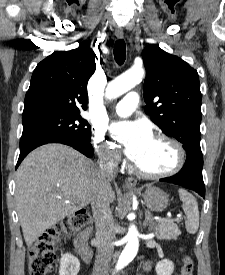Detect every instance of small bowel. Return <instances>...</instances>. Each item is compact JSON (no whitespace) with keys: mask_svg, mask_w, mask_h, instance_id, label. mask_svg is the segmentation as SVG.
Instances as JSON below:
<instances>
[{"mask_svg":"<svg viewBox=\"0 0 225 275\" xmlns=\"http://www.w3.org/2000/svg\"><path fill=\"white\" fill-rule=\"evenodd\" d=\"M149 268H150V266L146 265L145 268H144V270L147 271V270H149Z\"/></svg>","mask_w":225,"mask_h":275,"instance_id":"small-bowel-1","label":"small bowel"}]
</instances>
